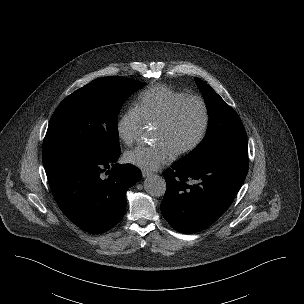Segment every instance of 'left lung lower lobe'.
Returning <instances> with one entry per match:
<instances>
[{
    "mask_svg": "<svg viewBox=\"0 0 304 304\" xmlns=\"http://www.w3.org/2000/svg\"><path fill=\"white\" fill-rule=\"evenodd\" d=\"M247 171L245 158L226 157L199 167L177 161L164 172L163 217L181 233L207 228L229 208Z\"/></svg>",
    "mask_w": 304,
    "mask_h": 304,
    "instance_id": "left-lung-lower-lobe-1",
    "label": "left lung lower lobe"
}]
</instances>
